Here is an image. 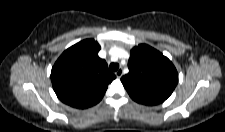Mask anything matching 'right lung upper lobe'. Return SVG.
Segmentation results:
<instances>
[{
	"mask_svg": "<svg viewBox=\"0 0 225 132\" xmlns=\"http://www.w3.org/2000/svg\"><path fill=\"white\" fill-rule=\"evenodd\" d=\"M100 45L94 39L83 40L67 50L51 70L53 89L58 98L75 108H88L104 96L116 76L100 59Z\"/></svg>",
	"mask_w": 225,
	"mask_h": 132,
	"instance_id": "obj_1",
	"label": "right lung upper lobe"
}]
</instances>
